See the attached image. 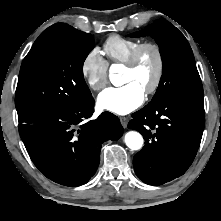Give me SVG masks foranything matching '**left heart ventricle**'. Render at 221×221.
I'll return each mask as SVG.
<instances>
[{
  "label": "left heart ventricle",
  "mask_w": 221,
  "mask_h": 221,
  "mask_svg": "<svg viewBox=\"0 0 221 221\" xmlns=\"http://www.w3.org/2000/svg\"><path fill=\"white\" fill-rule=\"evenodd\" d=\"M156 70V59L151 50H147L136 69L126 68L123 75V83L135 82L144 91L154 78Z\"/></svg>",
  "instance_id": "1"
}]
</instances>
